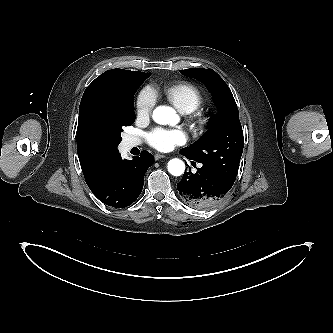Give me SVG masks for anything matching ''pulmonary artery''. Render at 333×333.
Wrapping results in <instances>:
<instances>
[{"instance_id": "e3ab8cb5", "label": "pulmonary artery", "mask_w": 333, "mask_h": 333, "mask_svg": "<svg viewBox=\"0 0 333 333\" xmlns=\"http://www.w3.org/2000/svg\"><path fill=\"white\" fill-rule=\"evenodd\" d=\"M140 144V140L136 137H128L126 139V145L127 147L129 148H133V147H136Z\"/></svg>"}]
</instances>
